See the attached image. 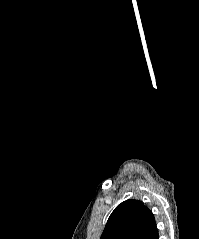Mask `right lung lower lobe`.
Here are the masks:
<instances>
[{
    "label": "right lung lower lobe",
    "instance_id": "obj_1",
    "mask_svg": "<svg viewBox=\"0 0 199 239\" xmlns=\"http://www.w3.org/2000/svg\"><path fill=\"white\" fill-rule=\"evenodd\" d=\"M143 239H159L157 227L155 226Z\"/></svg>",
    "mask_w": 199,
    "mask_h": 239
}]
</instances>
